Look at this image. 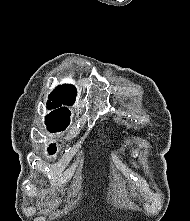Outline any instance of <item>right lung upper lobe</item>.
Here are the masks:
<instances>
[{
	"label": "right lung upper lobe",
	"mask_w": 190,
	"mask_h": 221,
	"mask_svg": "<svg viewBox=\"0 0 190 221\" xmlns=\"http://www.w3.org/2000/svg\"><path fill=\"white\" fill-rule=\"evenodd\" d=\"M76 89L70 84L58 86L49 95L48 109H56L46 116V121L70 123L71 112L62 105H72L75 101Z\"/></svg>",
	"instance_id": "obj_1"
}]
</instances>
